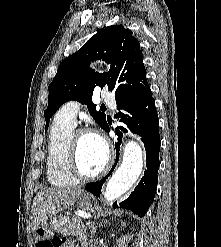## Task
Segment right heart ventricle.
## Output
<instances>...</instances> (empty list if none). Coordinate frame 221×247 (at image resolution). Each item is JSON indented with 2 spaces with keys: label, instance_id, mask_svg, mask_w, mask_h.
<instances>
[{
  "label": "right heart ventricle",
  "instance_id": "obj_1",
  "mask_svg": "<svg viewBox=\"0 0 221 247\" xmlns=\"http://www.w3.org/2000/svg\"><path fill=\"white\" fill-rule=\"evenodd\" d=\"M74 127L55 118L47 146L46 174L48 181L58 187L73 186L78 179L72 174L69 161V145Z\"/></svg>",
  "mask_w": 221,
  "mask_h": 247
}]
</instances>
